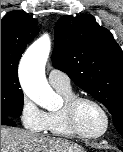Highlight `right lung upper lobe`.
<instances>
[{"label": "right lung upper lobe", "mask_w": 123, "mask_h": 152, "mask_svg": "<svg viewBox=\"0 0 123 152\" xmlns=\"http://www.w3.org/2000/svg\"><path fill=\"white\" fill-rule=\"evenodd\" d=\"M38 32L37 20L19 10L1 20V72L17 75L21 55Z\"/></svg>", "instance_id": "1"}]
</instances>
